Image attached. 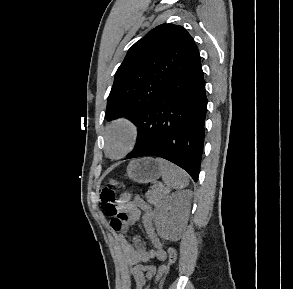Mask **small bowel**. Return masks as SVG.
<instances>
[{
  "label": "small bowel",
  "instance_id": "c3829d8e",
  "mask_svg": "<svg viewBox=\"0 0 293 289\" xmlns=\"http://www.w3.org/2000/svg\"><path fill=\"white\" fill-rule=\"evenodd\" d=\"M119 216L111 217V227L117 231V240L129 266V272L134 280V289H143L146 282L155 278L159 269L163 266L155 267L152 261H164L167 253L163 243L154 227V210L150 204L139 197L131 198L128 193H123L118 198ZM142 221L145 232L152 244V249H148L146 243L139 236H132L128 241L123 230L125 227H133ZM122 223L123 228L116 230L114 223ZM145 289H148L145 288Z\"/></svg>",
  "mask_w": 293,
  "mask_h": 289
}]
</instances>
